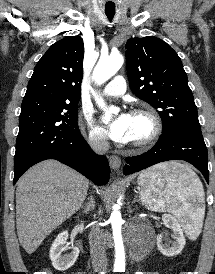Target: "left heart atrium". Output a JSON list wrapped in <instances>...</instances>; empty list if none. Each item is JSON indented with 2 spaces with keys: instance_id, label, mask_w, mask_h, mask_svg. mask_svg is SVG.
Returning <instances> with one entry per match:
<instances>
[{
  "instance_id": "left-heart-atrium-1",
  "label": "left heart atrium",
  "mask_w": 215,
  "mask_h": 274,
  "mask_svg": "<svg viewBox=\"0 0 215 274\" xmlns=\"http://www.w3.org/2000/svg\"><path fill=\"white\" fill-rule=\"evenodd\" d=\"M131 126V115L126 112L119 113L109 124L108 134L116 142L129 141V130Z\"/></svg>"
}]
</instances>
